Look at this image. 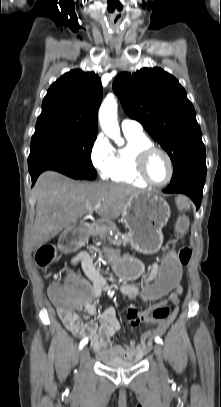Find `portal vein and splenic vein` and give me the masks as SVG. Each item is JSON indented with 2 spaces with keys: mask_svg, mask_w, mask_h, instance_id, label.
<instances>
[{
  "mask_svg": "<svg viewBox=\"0 0 221 407\" xmlns=\"http://www.w3.org/2000/svg\"><path fill=\"white\" fill-rule=\"evenodd\" d=\"M100 207H101V203L99 202V203H97V204L94 206L93 209L90 210V213H92L93 211L98 210Z\"/></svg>",
  "mask_w": 221,
  "mask_h": 407,
  "instance_id": "18ae733b",
  "label": "portal vein and splenic vein"
}]
</instances>
